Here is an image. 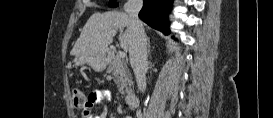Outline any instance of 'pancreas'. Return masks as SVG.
Returning a JSON list of instances; mask_svg holds the SVG:
<instances>
[{
  "instance_id": "cf45deb5",
  "label": "pancreas",
  "mask_w": 273,
  "mask_h": 118,
  "mask_svg": "<svg viewBox=\"0 0 273 118\" xmlns=\"http://www.w3.org/2000/svg\"><path fill=\"white\" fill-rule=\"evenodd\" d=\"M114 76V81L121 94H130L132 92V76L126 62L119 56H114L107 69Z\"/></svg>"
}]
</instances>
